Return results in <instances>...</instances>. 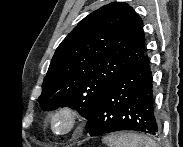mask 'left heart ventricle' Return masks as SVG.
I'll use <instances>...</instances> for the list:
<instances>
[{"label": "left heart ventricle", "instance_id": "1", "mask_svg": "<svg viewBox=\"0 0 183 147\" xmlns=\"http://www.w3.org/2000/svg\"><path fill=\"white\" fill-rule=\"evenodd\" d=\"M70 126V122L69 120L64 117V116H60L55 120V129L58 132H63L66 131Z\"/></svg>", "mask_w": 183, "mask_h": 147}]
</instances>
